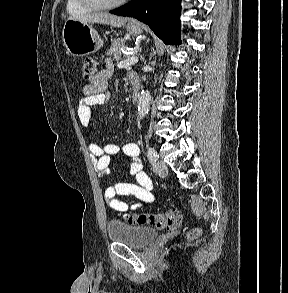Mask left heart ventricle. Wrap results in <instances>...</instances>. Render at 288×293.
I'll list each match as a JSON object with an SVG mask.
<instances>
[{
	"instance_id": "left-heart-ventricle-1",
	"label": "left heart ventricle",
	"mask_w": 288,
	"mask_h": 293,
	"mask_svg": "<svg viewBox=\"0 0 288 293\" xmlns=\"http://www.w3.org/2000/svg\"><path fill=\"white\" fill-rule=\"evenodd\" d=\"M103 1L112 2V1H116V0H103Z\"/></svg>"
}]
</instances>
